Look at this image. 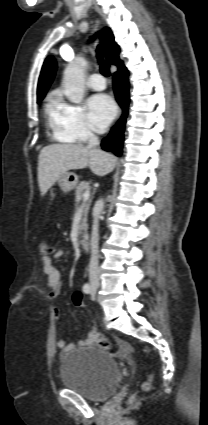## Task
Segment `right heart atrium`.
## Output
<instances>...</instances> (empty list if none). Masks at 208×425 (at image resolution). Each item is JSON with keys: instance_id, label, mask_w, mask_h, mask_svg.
I'll return each mask as SVG.
<instances>
[{"instance_id": "obj_1", "label": "right heart atrium", "mask_w": 208, "mask_h": 425, "mask_svg": "<svg viewBox=\"0 0 208 425\" xmlns=\"http://www.w3.org/2000/svg\"><path fill=\"white\" fill-rule=\"evenodd\" d=\"M58 119L60 126L76 142L84 143L93 137L84 109L75 104L58 100Z\"/></svg>"}]
</instances>
